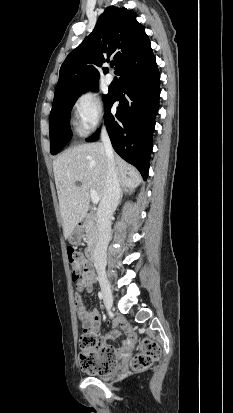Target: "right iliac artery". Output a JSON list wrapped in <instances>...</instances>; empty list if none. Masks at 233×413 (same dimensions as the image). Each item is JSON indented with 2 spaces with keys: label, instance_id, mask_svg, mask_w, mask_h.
Instances as JSON below:
<instances>
[{
  "label": "right iliac artery",
  "instance_id": "82829eb1",
  "mask_svg": "<svg viewBox=\"0 0 233 413\" xmlns=\"http://www.w3.org/2000/svg\"><path fill=\"white\" fill-rule=\"evenodd\" d=\"M98 297H99L100 300H102L103 299V294L101 292H99Z\"/></svg>",
  "mask_w": 233,
  "mask_h": 413
}]
</instances>
